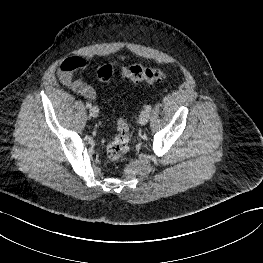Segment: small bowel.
<instances>
[{
	"instance_id": "1",
	"label": "small bowel",
	"mask_w": 263,
	"mask_h": 263,
	"mask_svg": "<svg viewBox=\"0 0 263 263\" xmlns=\"http://www.w3.org/2000/svg\"><path fill=\"white\" fill-rule=\"evenodd\" d=\"M86 65V60L81 57L67 58L59 66L57 73L58 78L63 85H65L75 93L82 95L88 99H95V89L87 84L82 77H74V73L77 71H83Z\"/></svg>"
}]
</instances>
